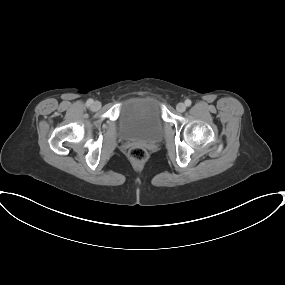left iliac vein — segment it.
Instances as JSON below:
<instances>
[{
    "instance_id": "1",
    "label": "left iliac vein",
    "mask_w": 285,
    "mask_h": 285,
    "mask_svg": "<svg viewBox=\"0 0 285 285\" xmlns=\"http://www.w3.org/2000/svg\"><path fill=\"white\" fill-rule=\"evenodd\" d=\"M178 112H184L186 110V105L184 103H178L176 106Z\"/></svg>"
}]
</instances>
